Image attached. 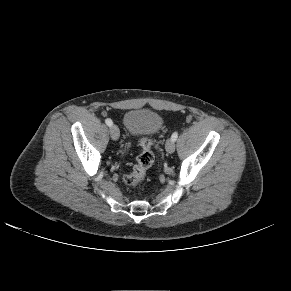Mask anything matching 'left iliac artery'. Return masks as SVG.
Instances as JSON below:
<instances>
[{
    "instance_id": "obj_1",
    "label": "left iliac artery",
    "mask_w": 291,
    "mask_h": 291,
    "mask_svg": "<svg viewBox=\"0 0 291 291\" xmlns=\"http://www.w3.org/2000/svg\"><path fill=\"white\" fill-rule=\"evenodd\" d=\"M177 138H178V132H174L171 136L172 141L175 142L177 140Z\"/></svg>"
}]
</instances>
